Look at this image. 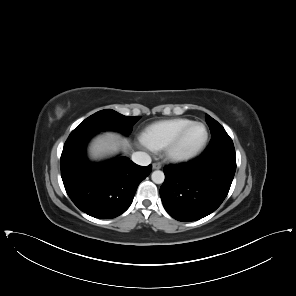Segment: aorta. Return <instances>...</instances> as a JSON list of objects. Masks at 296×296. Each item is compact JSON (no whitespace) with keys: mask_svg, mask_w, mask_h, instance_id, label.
<instances>
[{"mask_svg":"<svg viewBox=\"0 0 296 296\" xmlns=\"http://www.w3.org/2000/svg\"><path fill=\"white\" fill-rule=\"evenodd\" d=\"M151 179L156 184H162L164 182L165 175H164L163 171L156 170L152 173Z\"/></svg>","mask_w":296,"mask_h":296,"instance_id":"762f6f07","label":"aorta"}]
</instances>
